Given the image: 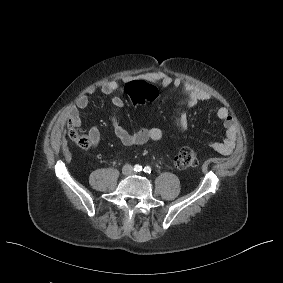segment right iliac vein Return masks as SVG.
Wrapping results in <instances>:
<instances>
[{
    "instance_id": "right-iliac-vein-1",
    "label": "right iliac vein",
    "mask_w": 283,
    "mask_h": 283,
    "mask_svg": "<svg viewBox=\"0 0 283 283\" xmlns=\"http://www.w3.org/2000/svg\"><path fill=\"white\" fill-rule=\"evenodd\" d=\"M129 171V168L128 167H125L124 168V172L126 173V172H128Z\"/></svg>"
}]
</instances>
